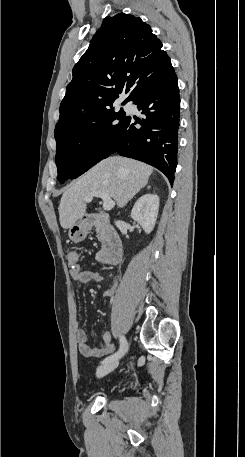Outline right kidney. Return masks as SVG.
<instances>
[{
	"mask_svg": "<svg viewBox=\"0 0 245 457\" xmlns=\"http://www.w3.org/2000/svg\"><path fill=\"white\" fill-rule=\"evenodd\" d=\"M159 210V196L158 194H143L138 200H136L132 210L131 216L134 220H137L138 224H141L142 229L145 233H151L153 231L157 214Z\"/></svg>",
	"mask_w": 245,
	"mask_h": 457,
	"instance_id": "right-kidney-1",
	"label": "right kidney"
}]
</instances>
